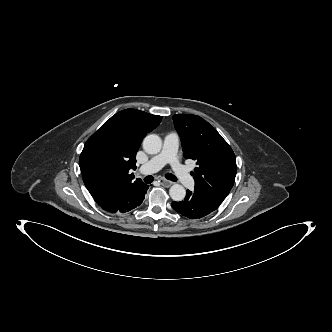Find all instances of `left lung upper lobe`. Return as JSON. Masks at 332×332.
Masks as SVG:
<instances>
[{
    "label": "left lung upper lobe",
    "instance_id": "obj_1",
    "mask_svg": "<svg viewBox=\"0 0 332 332\" xmlns=\"http://www.w3.org/2000/svg\"><path fill=\"white\" fill-rule=\"evenodd\" d=\"M175 128L181 138L183 155L196 161L192 172L194 191L220 205L229 194L236 176V157L221 135L196 115L176 114Z\"/></svg>",
    "mask_w": 332,
    "mask_h": 332
}]
</instances>
